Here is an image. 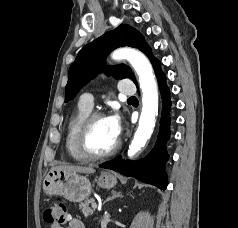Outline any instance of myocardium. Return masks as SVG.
<instances>
[{"label": "myocardium", "mask_w": 238, "mask_h": 228, "mask_svg": "<svg viewBox=\"0 0 238 228\" xmlns=\"http://www.w3.org/2000/svg\"><path fill=\"white\" fill-rule=\"evenodd\" d=\"M100 118H106V115L101 111H92L90 114L84 119L82 122L78 138H77V146L80 151V153L86 157L88 160H100V159H106L114 154L117 153V151L120 149L121 142L118 139L116 144L108 151L104 153H95L92 151L89 147V137L92 130V127L96 120Z\"/></svg>", "instance_id": "1"}]
</instances>
